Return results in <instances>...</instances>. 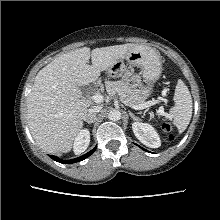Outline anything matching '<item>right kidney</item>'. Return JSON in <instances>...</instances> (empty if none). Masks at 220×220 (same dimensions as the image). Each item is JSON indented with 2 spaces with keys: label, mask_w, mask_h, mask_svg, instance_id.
I'll list each match as a JSON object with an SVG mask.
<instances>
[{
  "label": "right kidney",
  "mask_w": 220,
  "mask_h": 220,
  "mask_svg": "<svg viewBox=\"0 0 220 220\" xmlns=\"http://www.w3.org/2000/svg\"><path fill=\"white\" fill-rule=\"evenodd\" d=\"M90 143V133L87 129L81 130L76 136L74 141V153L81 154L83 153Z\"/></svg>",
  "instance_id": "right-kidney-1"
}]
</instances>
